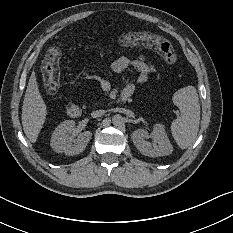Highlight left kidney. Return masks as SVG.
<instances>
[{
    "label": "left kidney",
    "mask_w": 233,
    "mask_h": 233,
    "mask_svg": "<svg viewBox=\"0 0 233 233\" xmlns=\"http://www.w3.org/2000/svg\"><path fill=\"white\" fill-rule=\"evenodd\" d=\"M131 138L136 148L145 156H167L173 151V147L162 124H155L153 132L150 135L144 129H137L132 133ZM148 138H152L154 145L145 140Z\"/></svg>",
    "instance_id": "5707ae66"
}]
</instances>
